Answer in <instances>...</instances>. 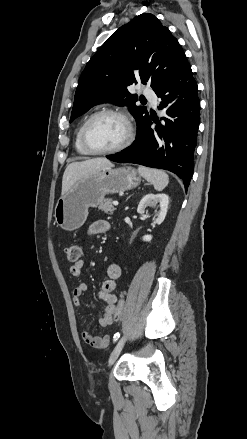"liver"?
<instances>
[{"instance_id":"obj_1","label":"liver","mask_w":247,"mask_h":439,"mask_svg":"<svg viewBox=\"0 0 247 439\" xmlns=\"http://www.w3.org/2000/svg\"><path fill=\"white\" fill-rule=\"evenodd\" d=\"M106 167H113V163L106 158H93L69 164L63 174L61 194L67 193L81 178L97 173Z\"/></svg>"}]
</instances>
